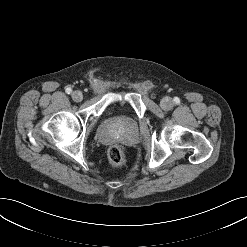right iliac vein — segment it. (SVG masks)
<instances>
[{
	"instance_id": "right-iliac-vein-1",
	"label": "right iliac vein",
	"mask_w": 247,
	"mask_h": 247,
	"mask_svg": "<svg viewBox=\"0 0 247 247\" xmlns=\"http://www.w3.org/2000/svg\"><path fill=\"white\" fill-rule=\"evenodd\" d=\"M82 98H83L82 92H80V91H74V92L72 93V99H73L75 102L81 101Z\"/></svg>"
}]
</instances>
